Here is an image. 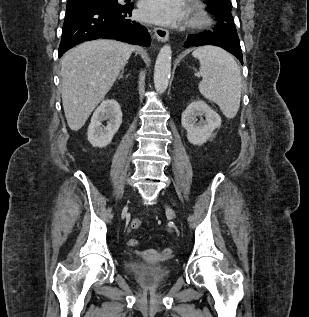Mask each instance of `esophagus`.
<instances>
[{"mask_svg": "<svg viewBox=\"0 0 309 317\" xmlns=\"http://www.w3.org/2000/svg\"><path fill=\"white\" fill-rule=\"evenodd\" d=\"M154 35L156 36V38L161 41V42H165L168 40L169 38V32L167 29L162 28V27H154L153 29Z\"/></svg>", "mask_w": 309, "mask_h": 317, "instance_id": "1", "label": "esophagus"}]
</instances>
